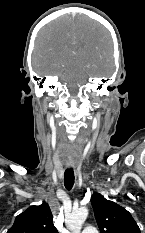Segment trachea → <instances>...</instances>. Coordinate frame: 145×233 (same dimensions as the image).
Masks as SVG:
<instances>
[{"instance_id": "3493384b", "label": "trachea", "mask_w": 145, "mask_h": 233, "mask_svg": "<svg viewBox=\"0 0 145 233\" xmlns=\"http://www.w3.org/2000/svg\"><path fill=\"white\" fill-rule=\"evenodd\" d=\"M74 171L72 168L66 169L64 173V185L67 190H71L74 185Z\"/></svg>"}]
</instances>
